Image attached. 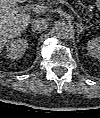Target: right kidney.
<instances>
[{
	"label": "right kidney",
	"instance_id": "1",
	"mask_svg": "<svg viewBox=\"0 0 100 118\" xmlns=\"http://www.w3.org/2000/svg\"><path fill=\"white\" fill-rule=\"evenodd\" d=\"M28 47V43L26 39L18 38L15 40H10L6 44V55L10 59L21 58L26 49Z\"/></svg>",
	"mask_w": 100,
	"mask_h": 118
}]
</instances>
